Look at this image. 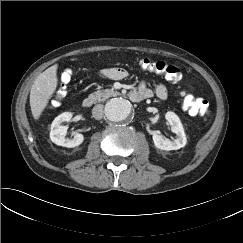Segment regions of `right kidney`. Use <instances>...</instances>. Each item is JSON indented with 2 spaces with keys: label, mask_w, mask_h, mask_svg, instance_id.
<instances>
[{
  "label": "right kidney",
  "mask_w": 243,
  "mask_h": 243,
  "mask_svg": "<svg viewBox=\"0 0 243 243\" xmlns=\"http://www.w3.org/2000/svg\"><path fill=\"white\" fill-rule=\"evenodd\" d=\"M72 116V113L64 112L53 120L51 124L50 139L56 145L73 148L79 146L83 142L84 136L79 133H76L72 139L65 138L68 127L62 125V123L71 121Z\"/></svg>",
  "instance_id": "right-kidney-1"
}]
</instances>
